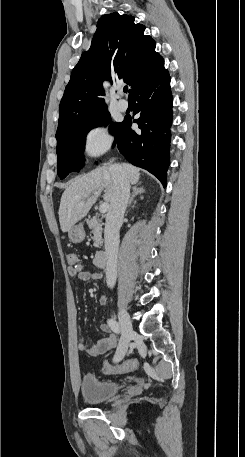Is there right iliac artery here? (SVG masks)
<instances>
[{
    "instance_id": "right-iliac-artery-1",
    "label": "right iliac artery",
    "mask_w": 245,
    "mask_h": 457,
    "mask_svg": "<svg viewBox=\"0 0 245 457\" xmlns=\"http://www.w3.org/2000/svg\"><path fill=\"white\" fill-rule=\"evenodd\" d=\"M107 323H108L109 327L111 328V330H112L114 333H116V334H118V335L121 333L120 325H119V323H118L116 320H114V319H109Z\"/></svg>"
}]
</instances>
